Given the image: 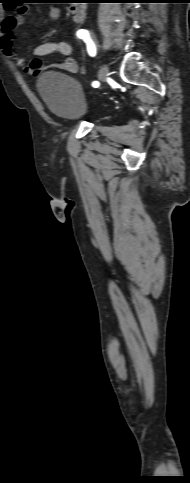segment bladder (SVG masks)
Segmentation results:
<instances>
[{"label":"bladder","instance_id":"obj_1","mask_svg":"<svg viewBox=\"0 0 190 483\" xmlns=\"http://www.w3.org/2000/svg\"><path fill=\"white\" fill-rule=\"evenodd\" d=\"M38 92L47 107L66 121H80L89 116L83 87L71 75L47 71L38 79Z\"/></svg>","mask_w":190,"mask_h":483}]
</instances>
